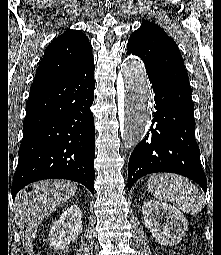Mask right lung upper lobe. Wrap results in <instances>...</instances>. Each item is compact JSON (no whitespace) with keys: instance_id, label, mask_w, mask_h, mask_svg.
Here are the masks:
<instances>
[{"instance_id":"obj_1","label":"right lung upper lobe","mask_w":221,"mask_h":255,"mask_svg":"<svg viewBox=\"0 0 221 255\" xmlns=\"http://www.w3.org/2000/svg\"><path fill=\"white\" fill-rule=\"evenodd\" d=\"M93 60L89 39L79 30L68 29L55 38L39 63L33 85L69 75Z\"/></svg>"}]
</instances>
